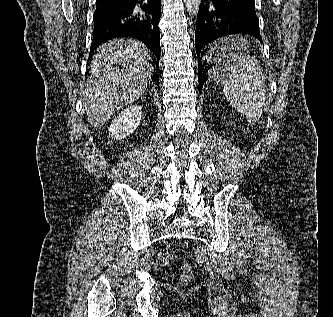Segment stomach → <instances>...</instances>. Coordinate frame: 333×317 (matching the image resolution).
<instances>
[{
  "instance_id": "obj_1",
  "label": "stomach",
  "mask_w": 333,
  "mask_h": 317,
  "mask_svg": "<svg viewBox=\"0 0 333 317\" xmlns=\"http://www.w3.org/2000/svg\"><path fill=\"white\" fill-rule=\"evenodd\" d=\"M227 41H211L207 46L206 62H217L209 76L213 88H224V82H261V81H228V74L238 71L225 69H247V62H256V55H249V41H239V34H227Z\"/></svg>"
}]
</instances>
